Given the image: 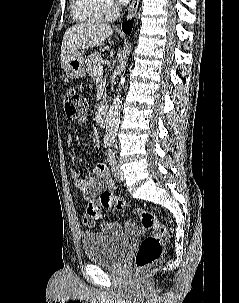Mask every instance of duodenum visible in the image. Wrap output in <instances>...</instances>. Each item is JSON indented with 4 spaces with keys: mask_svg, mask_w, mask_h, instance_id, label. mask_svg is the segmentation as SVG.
<instances>
[{
    "mask_svg": "<svg viewBox=\"0 0 239 303\" xmlns=\"http://www.w3.org/2000/svg\"><path fill=\"white\" fill-rule=\"evenodd\" d=\"M106 120H107V111L103 110L98 114V117H97L98 125L100 127H105L106 126Z\"/></svg>",
    "mask_w": 239,
    "mask_h": 303,
    "instance_id": "obj_1",
    "label": "duodenum"
}]
</instances>
